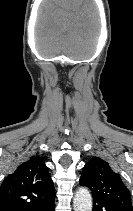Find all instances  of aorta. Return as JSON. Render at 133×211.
<instances>
[{
	"mask_svg": "<svg viewBox=\"0 0 133 211\" xmlns=\"http://www.w3.org/2000/svg\"><path fill=\"white\" fill-rule=\"evenodd\" d=\"M74 211H92V197L88 189L79 188L73 199Z\"/></svg>",
	"mask_w": 133,
	"mask_h": 211,
	"instance_id": "762f6f07",
	"label": "aorta"
}]
</instances>
